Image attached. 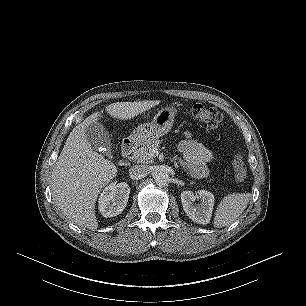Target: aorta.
I'll use <instances>...</instances> for the list:
<instances>
[{
    "instance_id": "aorta-1",
    "label": "aorta",
    "mask_w": 306,
    "mask_h": 306,
    "mask_svg": "<svg viewBox=\"0 0 306 306\" xmlns=\"http://www.w3.org/2000/svg\"><path fill=\"white\" fill-rule=\"evenodd\" d=\"M157 185L165 186L169 183V175L165 172H159L154 178Z\"/></svg>"
}]
</instances>
